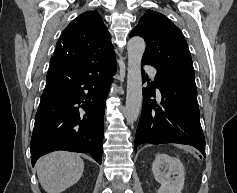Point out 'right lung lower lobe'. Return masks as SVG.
<instances>
[{"instance_id":"right-lung-lower-lobe-1","label":"right lung lower lobe","mask_w":237,"mask_h":193,"mask_svg":"<svg viewBox=\"0 0 237 193\" xmlns=\"http://www.w3.org/2000/svg\"><path fill=\"white\" fill-rule=\"evenodd\" d=\"M115 71V57L86 66L50 61L30 144L33 166L56 150L90 153L101 164L105 101Z\"/></svg>"}]
</instances>
